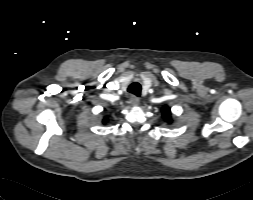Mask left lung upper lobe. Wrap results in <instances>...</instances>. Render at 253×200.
<instances>
[{
    "instance_id": "1",
    "label": "left lung upper lobe",
    "mask_w": 253,
    "mask_h": 200,
    "mask_svg": "<svg viewBox=\"0 0 253 200\" xmlns=\"http://www.w3.org/2000/svg\"><path fill=\"white\" fill-rule=\"evenodd\" d=\"M162 114H163L164 119L167 122L171 123V111H170V108L167 107V106H164L162 108Z\"/></svg>"
}]
</instances>
